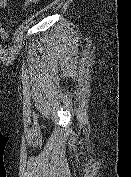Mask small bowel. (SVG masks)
Returning <instances> with one entry per match:
<instances>
[{
    "mask_svg": "<svg viewBox=\"0 0 131 177\" xmlns=\"http://www.w3.org/2000/svg\"><path fill=\"white\" fill-rule=\"evenodd\" d=\"M40 0H25L24 4H23V8H27L32 4L38 3ZM9 6V0H0V7L1 8H6ZM0 32L1 34L5 35L6 29L3 27H0Z\"/></svg>",
    "mask_w": 131,
    "mask_h": 177,
    "instance_id": "1",
    "label": "small bowel"
}]
</instances>
